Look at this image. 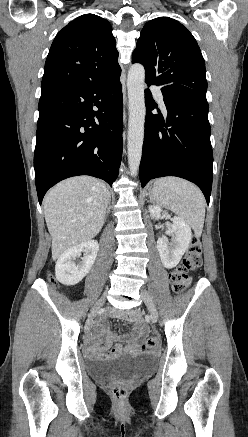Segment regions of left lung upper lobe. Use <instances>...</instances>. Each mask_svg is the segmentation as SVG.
Returning a JSON list of instances; mask_svg holds the SVG:
<instances>
[{"mask_svg": "<svg viewBox=\"0 0 248 437\" xmlns=\"http://www.w3.org/2000/svg\"><path fill=\"white\" fill-rule=\"evenodd\" d=\"M132 62L144 66L147 83L162 85L163 96L207 102L204 58L195 38L178 21L158 17L147 22Z\"/></svg>", "mask_w": 248, "mask_h": 437, "instance_id": "left-lung-upper-lobe-1", "label": "left lung upper lobe"}]
</instances>
